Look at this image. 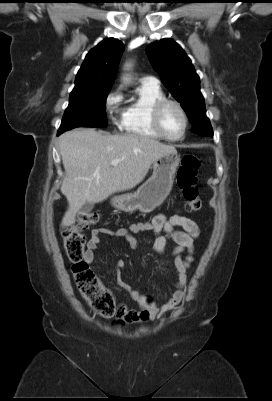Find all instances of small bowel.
<instances>
[{
	"label": "small bowel",
	"instance_id": "c3829d8e",
	"mask_svg": "<svg viewBox=\"0 0 272 401\" xmlns=\"http://www.w3.org/2000/svg\"><path fill=\"white\" fill-rule=\"evenodd\" d=\"M147 232L154 234L153 248L161 255L166 253L168 240L175 243L176 246L170 252L176 275L175 287L160 307L148 303L139 290L132 288L122 279L121 271L125 268L126 263L123 260H117L114 265L117 283L129 293L132 300L138 305V309H130L123 304L120 305L122 313L118 317L119 323L146 322L150 318L172 310L184 297L187 270L193 261L194 240L199 236V227L194 220L179 212H175L169 217L159 213L150 221L133 223L128 227L93 229L84 254V260L88 264L94 261L95 251L101 242L102 235L125 239L130 246L137 247L139 241L135 235Z\"/></svg>",
	"mask_w": 272,
	"mask_h": 401
}]
</instances>
